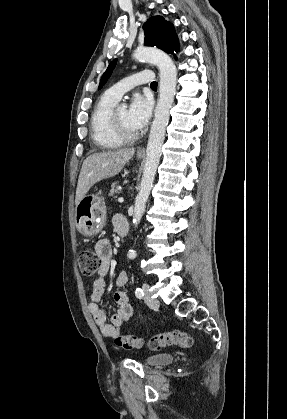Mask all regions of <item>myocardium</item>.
Listing matches in <instances>:
<instances>
[{"label":"myocardium","instance_id":"1","mask_svg":"<svg viewBox=\"0 0 287 419\" xmlns=\"http://www.w3.org/2000/svg\"><path fill=\"white\" fill-rule=\"evenodd\" d=\"M110 124L115 136L123 143L132 142L138 138L137 133L127 132L121 125L117 117V109H113L110 115Z\"/></svg>","mask_w":287,"mask_h":419}]
</instances>
